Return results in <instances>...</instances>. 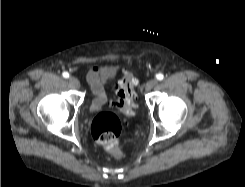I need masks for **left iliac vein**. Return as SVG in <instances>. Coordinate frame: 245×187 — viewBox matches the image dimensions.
<instances>
[{
    "mask_svg": "<svg viewBox=\"0 0 245 187\" xmlns=\"http://www.w3.org/2000/svg\"><path fill=\"white\" fill-rule=\"evenodd\" d=\"M156 85H157V80H156V79H150V80L147 81V83L145 84V90H146V91H150V90L153 89Z\"/></svg>",
    "mask_w": 245,
    "mask_h": 187,
    "instance_id": "left-iliac-vein-1",
    "label": "left iliac vein"
}]
</instances>
